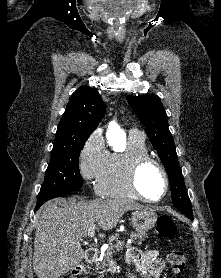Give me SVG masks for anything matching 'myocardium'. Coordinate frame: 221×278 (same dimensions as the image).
Masks as SVG:
<instances>
[{
  "label": "myocardium",
  "mask_w": 221,
  "mask_h": 278,
  "mask_svg": "<svg viewBox=\"0 0 221 278\" xmlns=\"http://www.w3.org/2000/svg\"><path fill=\"white\" fill-rule=\"evenodd\" d=\"M148 164L155 165L161 172L163 179H164V184H165L164 192L157 199H150L146 195H144V193L142 192V189L140 188V185H139L140 173H141L142 169ZM127 181H128V184H129V187H130L132 193L137 198H139L145 202H148V203H157V202L162 201L166 197V195L169 191V177H168L165 167L162 165V163L160 161H158L156 158H154L148 154L147 155H139V156H136V157H133L132 159H130V161L128 162V165H127Z\"/></svg>",
  "instance_id": "obj_1"
}]
</instances>
